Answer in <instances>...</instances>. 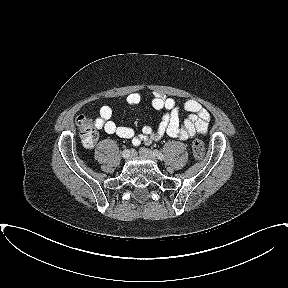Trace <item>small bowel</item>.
<instances>
[{
  "label": "small bowel",
  "instance_id": "small-bowel-1",
  "mask_svg": "<svg viewBox=\"0 0 288 288\" xmlns=\"http://www.w3.org/2000/svg\"><path fill=\"white\" fill-rule=\"evenodd\" d=\"M140 101L141 95L137 92L127 96V102L131 105L139 104ZM151 105L156 110L165 111L157 129L147 125L143 127L140 134L136 135L132 128L119 126L112 120L113 111L110 106L101 107L96 126L107 134L131 139L134 146L158 140L164 135L184 141L193 138L196 134H206L208 131L210 114L195 100L184 102L183 109L190 114L183 122L179 118L180 107L174 99L157 94L152 98Z\"/></svg>",
  "mask_w": 288,
  "mask_h": 288
}]
</instances>
